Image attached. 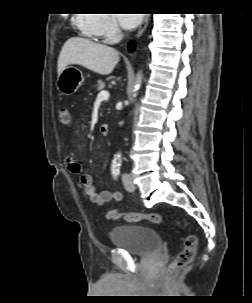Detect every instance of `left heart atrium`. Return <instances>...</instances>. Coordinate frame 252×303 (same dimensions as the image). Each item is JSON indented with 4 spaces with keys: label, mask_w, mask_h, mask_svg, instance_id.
<instances>
[{
    "label": "left heart atrium",
    "mask_w": 252,
    "mask_h": 303,
    "mask_svg": "<svg viewBox=\"0 0 252 303\" xmlns=\"http://www.w3.org/2000/svg\"><path fill=\"white\" fill-rule=\"evenodd\" d=\"M120 25L125 29H132L138 25L141 19L140 14H116Z\"/></svg>",
    "instance_id": "39dd6f15"
}]
</instances>
